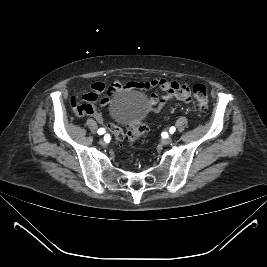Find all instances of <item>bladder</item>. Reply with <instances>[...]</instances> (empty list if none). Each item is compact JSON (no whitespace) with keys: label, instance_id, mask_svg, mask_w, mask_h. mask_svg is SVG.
<instances>
[{"label":"bladder","instance_id":"bladder-1","mask_svg":"<svg viewBox=\"0 0 267 267\" xmlns=\"http://www.w3.org/2000/svg\"><path fill=\"white\" fill-rule=\"evenodd\" d=\"M109 114L118 125H132L144 120L147 109L137 94L122 92L112 100Z\"/></svg>","mask_w":267,"mask_h":267}]
</instances>
